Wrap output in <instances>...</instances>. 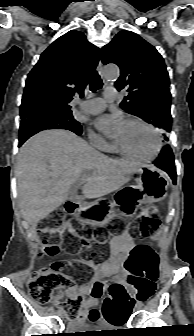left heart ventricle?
I'll list each match as a JSON object with an SVG mask.
<instances>
[{"instance_id": "obj_1", "label": "left heart ventricle", "mask_w": 194, "mask_h": 336, "mask_svg": "<svg viewBox=\"0 0 194 336\" xmlns=\"http://www.w3.org/2000/svg\"><path fill=\"white\" fill-rule=\"evenodd\" d=\"M116 141L128 151L143 156L152 154L155 148L152 132L137 123H125Z\"/></svg>"}]
</instances>
